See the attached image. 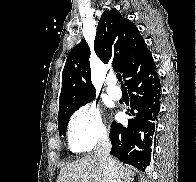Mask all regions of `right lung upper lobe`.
I'll list each match as a JSON object with an SVG mask.
<instances>
[{"mask_svg":"<svg viewBox=\"0 0 196 182\" xmlns=\"http://www.w3.org/2000/svg\"><path fill=\"white\" fill-rule=\"evenodd\" d=\"M94 50L104 63L113 60L114 68L126 79L151 56L137 27L123 18L118 10L103 12L97 27ZM89 58L90 48L86 41L77 44L69 53L62 72L58 116L94 99Z\"/></svg>","mask_w":196,"mask_h":182,"instance_id":"right-lung-upper-lobe-1","label":"right lung upper lobe"}]
</instances>
